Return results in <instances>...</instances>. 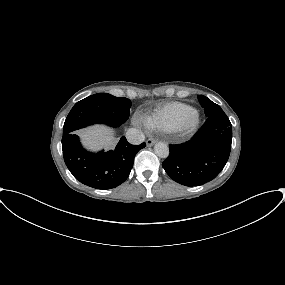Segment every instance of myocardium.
Segmentation results:
<instances>
[{"label":"myocardium","mask_w":285,"mask_h":285,"mask_svg":"<svg viewBox=\"0 0 285 285\" xmlns=\"http://www.w3.org/2000/svg\"><path fill=\"white\" fill-rule=\"evenodd\" d=\"M199 123V114L196 110H193L188 114L182 123L180 124L178 131L187 133L193 131Z\"/></svg>","instance_id":"f54148a6"}]
</instances>
